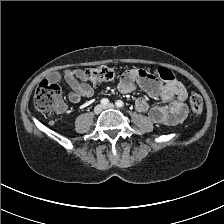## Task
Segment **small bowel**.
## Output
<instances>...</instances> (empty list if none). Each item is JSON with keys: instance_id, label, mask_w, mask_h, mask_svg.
<instances>
[{"instance_id": "obj_1", "label": "small bowel", "mask_w": 224, "mask_h": 224, "mask_svg": "<svg viewBox=\"0 0 224 224\" xmlns=\"http://www.w3.org/2000/svg\"><path fill=\"white\" fill-rule=\"evenodd\" d=\"M62 78L71 89L68 93L70 102L78 103L82 98H88L94 94V89L88 83L83 70L67 69L63 75L55 72L50 76V80L54 83L59 82ZM137 86L149 96L159 98L163 102H170L167 105L150 106L147 99L143 97L136 100V109L141 113H146L152 122L176 125L184 120L187 114L188 92L179 80L174 79L161 84L147 71L129 70L122 75L118 82V89L122 93H130Z\"/></svg>"}]
</instances>
